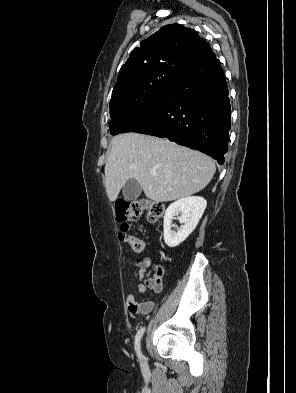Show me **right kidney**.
Returning <instances> with one entry per match:
<instances>
[{
  "label": "right kidney",
  "mask_w": 296,
  "mask_h": 393,
  "mask_svg": "<svg viewBox=\"0 0 296 393\" xmlns=\"http://www.w3.org/2000/svg\"><path fill=\"white\" fill-rule=\"evenodd\" d=\"M207 202L203 197L189 196L181 198L169 205L164 216V241L169 247L180 245L196 228ZM178 216L182 224L177 232L171 230L172 219Z\"/></svg>",
  "instance_id": "obj_1"
}]
</instances>
